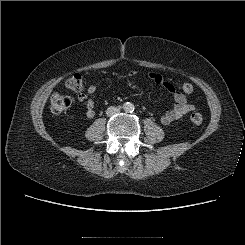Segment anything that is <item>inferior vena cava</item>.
<instances>
[{"label":"inferior vena cava","mask_w":245,"mask_h":245,"mask_svg":"<svg viewBox=\"0 0 245 245\" xmlns=\"http://www.w3.org/2000/svg\"><path fill=\"white\" fill-rule=\"evenodd\" d=\"M118 113H120V109L118 107H115V106H110L106 110V114L108 117L117 115Z\"/></svg>","instance_id":"1"}]
</instances>
